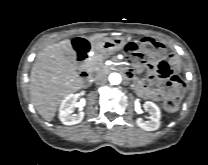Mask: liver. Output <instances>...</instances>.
Returning a JSON list of instances; mask_svg holds the SVG:
<instances>
[{"instance_id": "obj_1", "label": "liver", "mask_w": 208, "mask_h": 165, "mask_svg": "<svg viewBox=\"0 0 208 165\" xmlns=\"http://www.w3.org/2000/svg\"><path fill=\"white\" fill-rule=\"evenodd\" d=\"M108 34L100 33L84 37L90 43L105 39ZM70 40H63L43 48L37 55L30 74L31 101L37 112L51 121L58 105L70 93L83 87L74 58Z\"/></svg>"}]
</instances>
